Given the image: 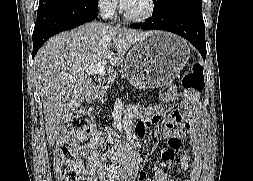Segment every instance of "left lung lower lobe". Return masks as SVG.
<instances>
[{"instance_id":"left-lung-lower-lobe-1","label":"left lung lower lobe","mask_w":253,"mask_h":181,"mask_svg":"<svg viewBox=\"0 0 253 181\" xmlns=\"http://www.w3.org/2000/svg\"><path fill=\"white\" fill-rule=\"evenodd\" d=\"M131 28L163 30L182 36L191 42L206 57L205 25L199 7L182 6L168 13L152 16L144 23L131 24Z\"/></svg>"}]
</instances>
